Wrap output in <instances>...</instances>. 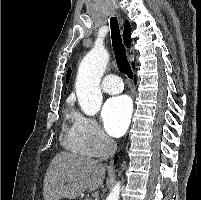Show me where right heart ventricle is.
Returning a JSON list of instances; mask_svg holds the SVG:
<instances>
[{
    "label": "right heart ventricle",
    "mask_w": 201,
    "mask_h": 200,
    "mask_svg": "<svg viewBox=\"0 0 201 200\" xmlns=\"http://www.w3.org/2000/svg\"><path fill=\"white\" fill-rule=\"evenodd\" d=\"M73 118H74V113L71 110H69L67 113V120H68L69 124L64 129L65 144L68 147V149H70L71 151L83 153L77 146L75 138H74Z\"/></svg>",
    "instance_id": "e07e8e85"
}]
</instances>
